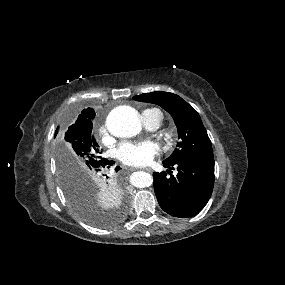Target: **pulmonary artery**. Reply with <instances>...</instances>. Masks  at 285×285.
Here are the masks:
<instances>
[{
  "label": "pulmonary artery",
  "mask_w": 285,
  "mask_h": 285,
  "mask_svg": "<svg viewBox=\"0 0 285 285\" xmlns=\"http://www.w3.org/2000/svg\"><path fill=\"white\" fill-rule=\"evenodd\" d=\"M143 120L147 129L156 130L161 124V114L157 111L146 110L143 112Z\"/></svg>",
  "instance_id": "e3ab8cb5"
}]
</instances>
